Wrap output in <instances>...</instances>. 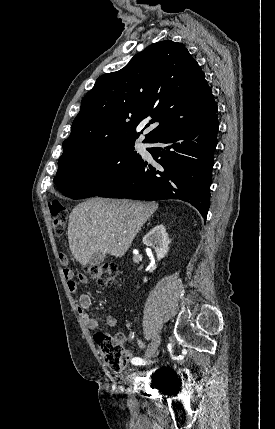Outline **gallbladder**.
I'll list each match as a JSON object with an SVG mask.
<instances>
[{
    "mask_svg": "<svg viewBox=\"0 0 275 429\" xmlns=\"http://www.w3.org/2000/svg\"><path fill=\"white\" fill-rule=\"evenodd\" d=\"M106 259V254L102 252H95L90 258L89 264L92 266H97L101 264Z\"/></svg>",
    "mask_w": 275,
    "mask_h": 429,
    "instance_id": "obj_1",
    "label": "gallbladder"
}]
</instances>
